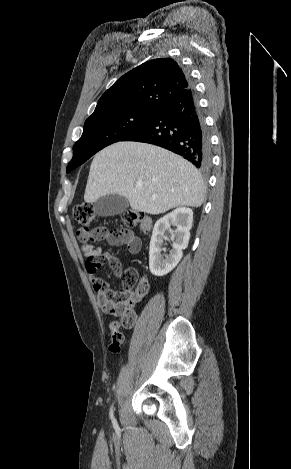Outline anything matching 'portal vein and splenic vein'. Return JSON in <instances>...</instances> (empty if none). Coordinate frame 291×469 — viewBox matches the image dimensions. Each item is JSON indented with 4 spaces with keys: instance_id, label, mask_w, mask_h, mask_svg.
I'll use <instances>...</instances> for the list:
<instances>
[{
    "instance_id": "portal-vein-and-splenic-vein-1",
    "label": "portal vein and splenic vein",
    "mask_w": 291,
    "mask_h": 469,
    "mask_svg": "<svg viewBox=\"0 0 291 469\" xmlns=\"http://www.w3.org/2000/svg\"><path fill=\"white\" fill-rule=\"evenodd\" d=\"M136 188L140 190V189L143 188V185H142L141 183H138V184L136 185Z\"/></svg>"
}]
</instances>
